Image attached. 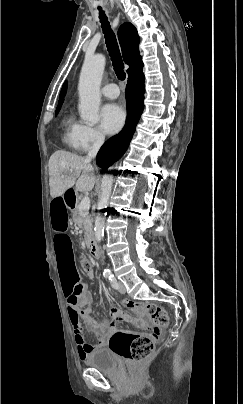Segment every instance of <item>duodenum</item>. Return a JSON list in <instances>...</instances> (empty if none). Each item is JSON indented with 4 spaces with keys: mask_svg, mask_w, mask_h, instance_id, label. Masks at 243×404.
I'll list each match as a JSON object with an SVG mask.
<instances>
[{
    "mask_svg": "<svg viewBox=\"0 0 243 404\" xmlns=\"http://www.w3.org/2000/svg\"><path fill=\"white\" fill-rule=\"evenodd\" d=\"M64 197L69 209L76 210L78 208V195L73 188H67L64 191ZM87 248L94 258L96 259L99 258V251L96 242L93 238L88 239Z\"/></svg>",
    "mask_w": 243,
    "mask_h": 404,
    "instance_id": "410a0bca",
    "label": "duodenum"
}]
</instances>
